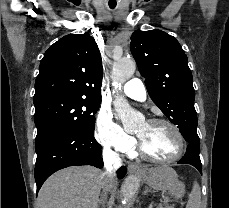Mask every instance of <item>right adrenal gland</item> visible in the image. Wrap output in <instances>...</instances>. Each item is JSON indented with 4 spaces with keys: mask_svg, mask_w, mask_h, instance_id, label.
<instances>
[{
    "mask_svg": "<svg viewBox=\"0 0 229 208\" xmlns=\"http://www.w3.org/2000/svg\"><path fill=\"white\" fill-rule=\"evenodd\" d=\"M105 202H107V194H106V192H102L101 200H99V202H98V208H99V206H101V204H102V206H105Z\"/></svg>",
    "mask_w": 229,
    "mask_h": 208,
    "instance_id": "2a0ac1e0",
    "label": "right adrenal gland"
}]
</instances>
